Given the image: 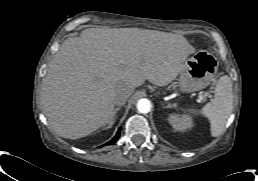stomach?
Segmentation results:
<instances>
[{"instance_id":"0dacf381","label":"stomach","mask_w":258,"mask_h":181,"mask_svg":"<svg viewBox=\"0 0 258 181\" xmlns=\"http://www.w3.org/2000/svg\"><path fill=\"white\" fill-rule=\"evenodd\" d=\"M218 70L217 58L206 50L197 51L186 59L179 73V90L190 93L207 87L215 78Z\"/></svg>"}]
</instances>
